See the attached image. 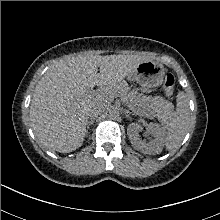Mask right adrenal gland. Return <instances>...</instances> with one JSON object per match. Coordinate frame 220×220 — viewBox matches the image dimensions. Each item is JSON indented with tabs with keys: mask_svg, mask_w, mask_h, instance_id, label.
I'll use <instances>...</instances> for the list:
<instances>
[{
	"mask_svg": "<svg viewBox=\"0 0 220 220\" xmlns=\"http://www.w3.org/2000/svg\"><path fill=\"white\" fill-rule=\"evenodd\" d=\"M95 119H91L90 121L87 122L86 128L90 129V125L94 124Z\"/></svg>",
	"mask_w": 220,
	"mask_h": 220,
	"instance_id": "1",
	"label": "right adrenal gland"
}]
</instances>
